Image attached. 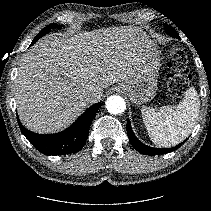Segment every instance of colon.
Returning a JSON list of instances; mask_svg holds the SVG:
<instances>
[{
  "label": "colon",
  "mask_w": 211,
  "mask_h": 211,
  "mask_svg": "<svg viewBox=\"0 0 211 211\" xmlns=\"http://www.w3.org/2000/svg\"><path fill=\"white\" fill-rule=\"evenodd\" d=\"M186 62L183 50L174 46L167 59L168 72L165 76V83L174 97L182 96L188 87L190 75L185 72Z\"/></svg>",
  "instance_id": "obj_1"
}]
</instances>
